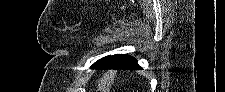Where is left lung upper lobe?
Instances as JSON below:
<instances>
[{
	"mask_svg": "<svg viewBox=\"0 0 225 92\" xmlns=\"http://www.w3.org/2000/svg\"><path fill=\"white\" fill-rule=\"evenodd\" d=\"M108 57H109V56H106V57H104V58H101L100 60H98L97 62H95V63L91 66V68H92V69H95V68L98 67L102 62H104Z\"/></svg>",
	"mask_w": 225,
	"mask_h": 92,
	"instance_id": "5c2ea615",
	"label": "left lung upper lobe"
}]
</instances>
